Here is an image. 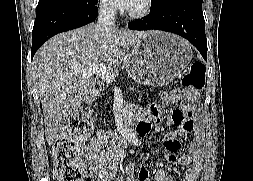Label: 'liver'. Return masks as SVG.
<instances>
[{
	"mask_svg": "<svg viewBox=\"0 0 253 181\" xmlns=\"http://www.w3.org/2000/svg\"><path fill=\"white\" fill-rule=\"evenodd\" d=\"M152 32L91 23L55 35L36 52L32 77L42 104L48 144H53L83 101L93 96L96 78L83 76L85 70L100 63L109 69L119 66L126 60L124 49Z\"/></svg>",
	"mask_w": 253,
	"mask_h": 181,
	"instance_id": "1",
	"label": "liver"
}]
</instances>
